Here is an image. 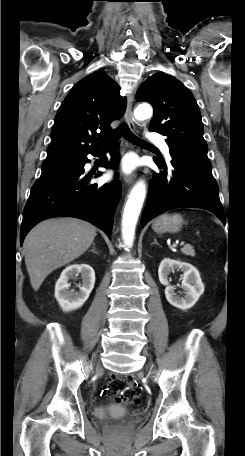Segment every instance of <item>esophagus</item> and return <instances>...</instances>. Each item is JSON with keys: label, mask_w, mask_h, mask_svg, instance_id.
I'll return each mask as SVG.
<instances>
[{"label": "esophagus", "mask_w": 245, "mask_h": 456, "mask_svg": "<svg viewBox=\"0 0 245 456\" xmlns=\"http://www.w3.org/2000/svg\"><path fill=\"white\" fill-rule=\"evenodd\" d=\"M133 94L130 93L127 99V107L125 112V120L131 130H135V119L132 112ZM136 179V173L126 175L124 181L126 184L131 185Z\"/></svg>", "instance_id": "obj_1"}]
</instances>
